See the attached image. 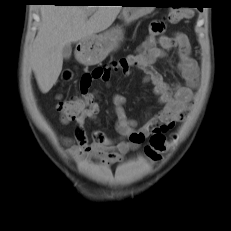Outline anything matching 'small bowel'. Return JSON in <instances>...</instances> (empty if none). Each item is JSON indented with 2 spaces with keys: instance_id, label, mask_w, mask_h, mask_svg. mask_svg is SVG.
<instances>
[{
  "instance_id": "obj_1",
  "label": "small bowel",
  "mask_w": 231,
  "mask_h": 231,
  "mask_svg": "<svg viewBox=\"0 0 231 231\" xmlns=\"http://www.w3.org/2000/svg\"><path fill=\"white\" fill-rule=\"evenodd\" d=\"M165 29L164 23L155 21L150 26L148 38L139 46L134 54L105 64L86 72L80 81L82 94L88 95L92 83L96 80L107 82L112 72H121L129 75L132 69L145 73V81L153 85L154 94L158 98L161 110L153 117L138 125L137 121L127 116L125 111L126 97L121 94L113 96V106L116 115L117 139L107 137L101 130L92 133L89 142L84 124L87 119L96 120L99 114V105L95 102L76 118L74 140L65 139L70 145L69 154L74 158L86 162L92 158L100 160L105 165L120 162L130 151L140 146L146 138L154 133H165L173 129L176 123L183 120L193 100L198 69L191 56V46L186 35L177 33L171 37L158 36ZM178 51V72L185 84L170 85L162 75L154 69L159 59H164L168 51Z\"/></svg>"
}]
</instances>
